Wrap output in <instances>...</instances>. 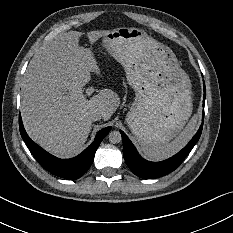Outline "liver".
Here are the masks:
<instances>
[{
  "label": "liver",
  "mask_w": 233,
  "mask_h": 233,
  "mask_svg": "<svg viewBox=\"0 0 233 233\" xmlns=\"http://www.w3.org/2000/svg\"><path fill=\"white\" fill-rule=\"evenodd\" d=\"M109 31H90L95 41ZM79 31L56 36L31 59L21 88L20 113L28 135L46 152L58 158H71L87 141L90 115L99 111L109 120L119 105L117 95L104 88L86 101L83 87L91 71L97 70L94 58L78 45ZM64 91L71 94L64 95Z\"/></svg>",
  "instance_id": "obj_1"
}]
</instances>
